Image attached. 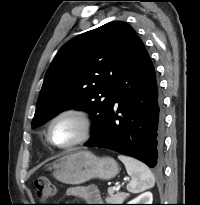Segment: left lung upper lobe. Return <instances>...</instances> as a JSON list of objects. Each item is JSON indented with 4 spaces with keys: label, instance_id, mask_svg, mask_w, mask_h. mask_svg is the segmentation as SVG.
Wrapping results in <instances>:
<instances>
[{
    "label": "left lung upper lobe",
    "instance_id": "obj_1",
    "mask_svg": "<svg viewBox=\"0 0 200 205\" xmlns=\"http://www.w3.org/2000/svg\"><path fill=\"white\" fill-rule=\"evenodd\" d=\"M137 37L127 23L114 21L64 44L46 72L32 127L75 108L89 112L90 140L97 137L111 108L114 82Z\"/></svg>",
    "mask_w": 200,
    "mask_h": 205
}]
</instances>
